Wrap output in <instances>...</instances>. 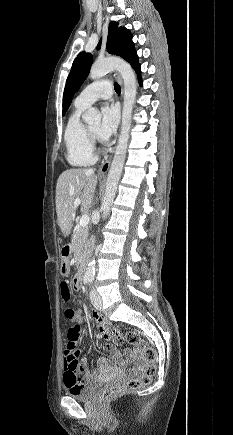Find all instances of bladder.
<instances>
[{
  "label": "bladder",
  "instance_id": "31cf9c89",
  "mask_svg": "<svg viewBox=\"0 0 233 435\" xmlns=\"http://www.w3.org/2000/svg\"><path fill=\"white\" fill-rule=\"evenodd\" d=\"M99 386L100 383L97 381L89 382L74 392H68V395L79 401H88L96 394Z\"/></svg>",
  "mask_w": 233,
  "mask_h": 435
}]
</instances>
